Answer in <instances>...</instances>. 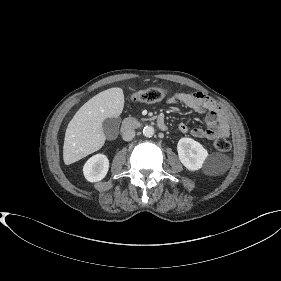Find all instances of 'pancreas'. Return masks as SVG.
<instances>
[{
  "label": "pancreas",
  "instance_id": "1",
  "mask_svg": "<svg viewBox=\"0 0 281 281\" xmlns=\"http://www.w3.org/2000/svg\"><path fill=\"white\" fill-rule=\"evenodd\" d=\"M123 123H124V125H126L128 127H136L138 125L137 119H135L133 117H128V118L124 119Z\"/></svg>",
  "mask_w": 281,
  "mask_h": 281
}]
</instances>
